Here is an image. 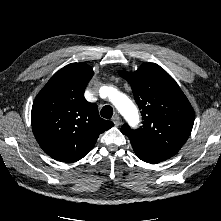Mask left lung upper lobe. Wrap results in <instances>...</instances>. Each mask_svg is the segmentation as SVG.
<instances>
[{
	"label": "left lung upper lobe",
	"mask_w": 221,
	"mask_h": 221,
	"mask_svg": "<svg viewBox=\"0 0 221 221\" xmlns=\"http://www.w3.org/2000/svg\"><path fill=\"white\" fill-rule=\"evenodd\" d=\"M131 85L141 110L143 126L132 130L124 124L121 132L130 141L171 158L187 141L194 124V111L174 79L159 65L142 64L135 72L121 71Z\"/></svg>",
	"instance_id": "left-lung-upper-lobe-1"
}]
</instances>
